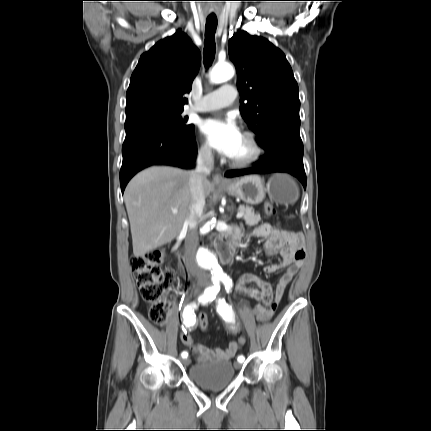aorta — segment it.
Here are the masks:
<instances>
[{
    "mask_svg": "<svg viewBox=\"0 0 431 431\" xmlns=\"http://www.w3.org/2000/svg\"><path fill=\"white\" fill-rule=\"evenodd\" d=\"M234 76V69L230 64H217L213 67L210 73V81L212 83H223L228 81ZM215 229V219L206 222L201 227V237H206L212 234ZM198 265L208 272H210V285L215 287L225 278V274L221 269L218 260L214 253L206 246H201L197 252Z\"/></svg>",
    "mask_w": 431,
    "mask_h": 431,
    "instance_id": "1",
    "label": "aorta"
}]
</instances>
